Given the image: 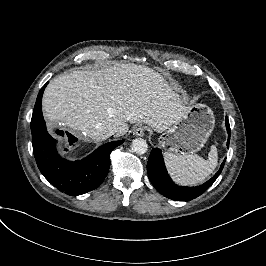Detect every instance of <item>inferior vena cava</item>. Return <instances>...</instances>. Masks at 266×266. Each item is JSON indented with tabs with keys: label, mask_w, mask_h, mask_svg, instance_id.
I'll return each mask as SVG.
<instances>
[{
	"label": "inferior vena cava",
	"mask_w": 266,
	"mask_h": 266,
	"mask_svg": "<svg viewBox=\"0 0 266 266\" xmlns=\"http://www.w3.org/2000/svg\"><path fill=\"white\" fill-rule=\"evenodd\" d=\"M104 135L102 137V139L108 138L111 135L115 134L117 132L116 129H103Z\"/></svg>",
	"instance_id": "inferior-vena-cava-1"
}]
</instances>
